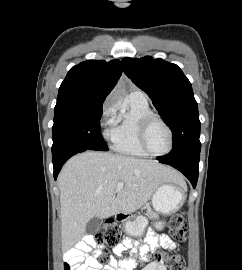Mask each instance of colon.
I'll return each mask as SVG.
<instances>
[{
	"mask_svg": "<svg viewBox=\"0 0 242 270\" xmlns=\"http://www.w3.org/2000/svg\"><path fill=\"white\" fill-rule=\"evenodd\" d=\"M168 228L169 235L172 240L176 242H184L186 240L184 211L176 212L171 216ZM91 237L97 245L115 246L121 239V232L117 224L113 220H109ZM154 256L159 261H165L168 266V270H186L185 262L179 254L158 250L154 253ZM103 260L104 258H102V261ZM63 269L72 270V266L69 263H64Z\"/></svg>",
	"mask_w": 242,
	"mask_h": 270,
	"instance_id": "1",
	"label": "colon"
}]
</instances>
